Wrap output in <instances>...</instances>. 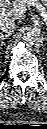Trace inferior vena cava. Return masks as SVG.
Here are the masks:
<instances>
[{
  "mask_svg": "<svg viewBox=\"0 0 47 129\" xmlns=\"http://www.w3.org/2000/svg\"><path fill=\"white\" fill-rule=\"evenodd\" d=\"M16 30V25L12 21H1L0 23V31L1 33H5L8 35H12Z\"/></svg>",
  "mask_w": 47,
  "mask_h": 129,
  "instance_id": "inferior-vena-cava-1",
  "label": "inferior vena cava"
}]
</instances>
